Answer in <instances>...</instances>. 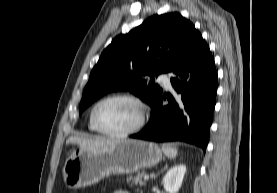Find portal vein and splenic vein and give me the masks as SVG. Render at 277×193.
Segmentation results:
<instances>
[{
	"instance_id": "obj_1",
	"label": "portal vein and splenic vein",
	"mask_w": 277,
	"mask_h": 193,
	"mask_svg": "<svg viewBox=\"0 0 277 193\" xmlns=\"http://www.w3.org/2000/svg\"><path fill=\"white\" fill-rule=\"evenodd\" d=\"M149 176L148 175H144V180H148Z\"/></svg>"
}]
</instances>
